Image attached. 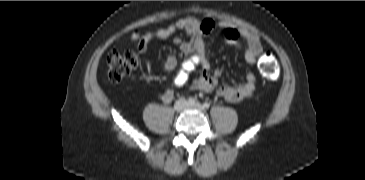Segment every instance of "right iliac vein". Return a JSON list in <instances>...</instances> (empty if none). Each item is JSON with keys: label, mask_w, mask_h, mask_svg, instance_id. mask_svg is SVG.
<instances>
[{"label": "right iliac vein", "mask_w": 365, "mask_h": 180, "mask_svg": "<svg viewBox=\"0 0 365 180\" xmlns=\"http://www.w3.org/2000/svg\"><path fill=\"white\" fill-rule=\"evenodd\" d=\"M186 106H187V102L185 101V99H179L174 104V110L176 112H181L186 108Z\"/></svg>", "instance_id": "obj_1"}]
</instances>
